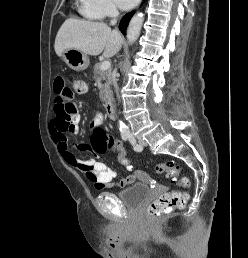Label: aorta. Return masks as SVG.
<instances>
[{"label": "aorta", "instance_id": "aorta-1", "mask_svg": "<svg viewBox=\"0 0 248 258\" xmlns=\"http://www.w3.org/2000/svg\"><path fill=\"white\" fill-rule=\"evenodd\" d=\"M143 21L144 16L142 13H139L132 17L127 29V39L130 45L133 44L140 35ZM119 130L121 133H129L128 127L122 121H119Z\"/></svg>", "mask_w": 248, "mask_h": 258}]
</instances>
